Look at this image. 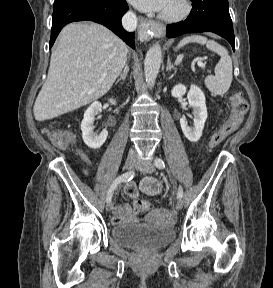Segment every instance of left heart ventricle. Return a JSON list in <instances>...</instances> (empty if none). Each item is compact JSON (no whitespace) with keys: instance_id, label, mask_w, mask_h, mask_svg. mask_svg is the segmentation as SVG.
I'll return each instance as SVG.
<instances>
[{"instance_id":"obj_1","label":"left heart ventricle","mask_w":273,"mask_h":288,"mask_svg":"<svg viewBox=\"0 0 273 288\" xmlns=\"http://www.w3.org/2000/svg\"><path fill=\"white\" fill-rule=\"evenodd\" d=\"M180 1L181 0H170L163 12L170 14L179 12L182 7Z\"/></svg>"}]
</instances>
